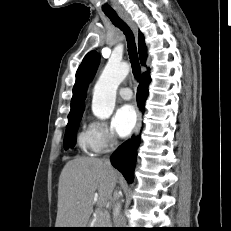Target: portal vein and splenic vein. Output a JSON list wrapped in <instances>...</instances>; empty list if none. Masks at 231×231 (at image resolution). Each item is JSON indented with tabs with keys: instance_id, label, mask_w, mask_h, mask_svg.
<instances>
[{
	"instance_id": "18ae733b",
	"label": "portal vein and splenic vein",
	"mask_w": 231,
	"mask_h": 231,
	"mask_svg": "<svg viewBox=\"0 0 231 231\" xmlns=\"http://www.w3.org/2000/svg\"><path fill=\"white\" fill-rule=\"evenodd\" d=\"M97 204L99 205V207L103 206L102 201H98Z\"/></svg>"
}]
</instances>
